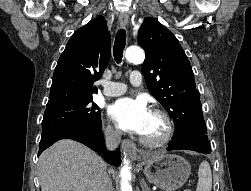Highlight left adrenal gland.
<instances>
[{"mask_svg":"<svg viewBox=\"0 0 251 191\" xmlns=\"http://www.w3.org/2000/svg\"><path fill=\"white\" fill-rule=\"evenodd\" d=\"M141 187L142 191H150V187H148L147 183H145L144 179H141Z\"/></svg>","mask_w":251,"mask_h":191,"instance_id":"left-adrenal-gland-1","label":"left adrenal gland"}]
</instances>
